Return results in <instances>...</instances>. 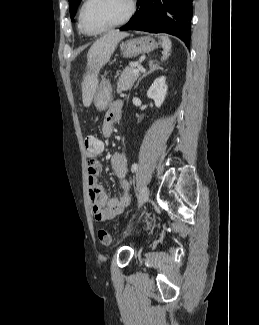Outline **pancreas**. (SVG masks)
Returning <instances> with one entry per match:
<instances>
[{
    "mask_svg": "<svg viewBox=\"0 0 259 325\" xmlns=\"http://www.w3.org/2000/svg\"><path fill=\"white\" fill-rule=\"evenodd\" d=\"M133 70L134 67L132 65L127 66L123 70L117 83V93H121L122 91H127L132 88L134 82L139 77V73L136 74L133 72Z\"/></svg>",
    "mask_w": 259,
    "mask_h": 325,
    "instance_id": "1",
    "label": "pancreas"
}]
</instances>
